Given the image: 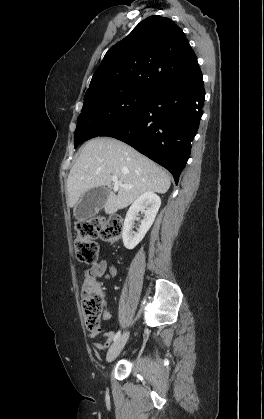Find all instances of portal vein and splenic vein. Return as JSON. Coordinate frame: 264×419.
Here are the masks:
<instances>
[{"instance_id":"1","label":"portal vein and splenic vein","mask_w":264,"mask_h":419,"mask_svg":"<svg viewBox=\"0 0 264 419\" xmlns=\"http://www.w3.org/2000/svg\"><path fill=\"white\" fill-rule=\"evenodd\" d=\"M112 181H113L114 187L116 189H118V187H124V188H131L132 187L130 185H126V184L121 183L116 176H112Z\"/></svg>"}]
</instances>
